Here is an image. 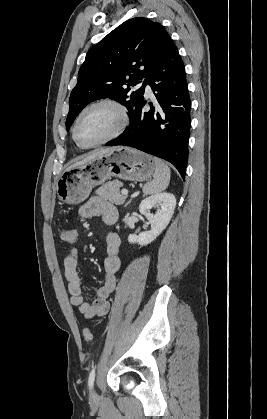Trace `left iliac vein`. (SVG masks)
Segmentation results:
<instances>
[{
    "label": "left iliac vein",
    "mask_w": 267,
    "mask_h": 419,
    "mask_svg": "<svg viewBox=\"0 0 267 419\" xmlns=\"http://www.w3.org/2000/svg\"><path fill=\"white\" fill-rule=\"evenodd\" d=\"M96 395H97L96 391H95L94 389H91V391H90V396H91L92 398H95V397H96Z\"/></svg>",
    "instance_id": "obj_1"
}]
</instances>
